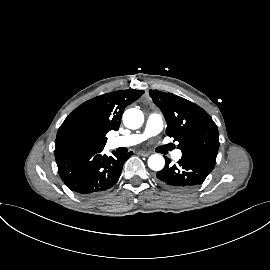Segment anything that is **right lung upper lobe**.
Here are the masks:
<instances>
[{
    "mask_svg": "<svg viewBox=\"0 0 270 270\" xmlns=\"http://www.w3.org/2000/svg\"><path fill=\"white\" fill-rule=\"evenodd\" d=\"M143 93V90H118L81 104L60 126L55 152L69 150L62 145V137L70 131L79 129L89 132L97 147H104L108 131L118 130L125 107L136 101Z\"/></svg>",
    "mask_w": 270,
    "mask_h": 270,
    "instance_id": "obj_1",
    "label": "right lung upper lobe"
}]
</instances>
